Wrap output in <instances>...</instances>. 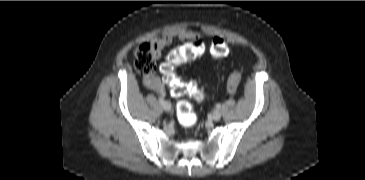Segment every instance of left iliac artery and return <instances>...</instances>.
<instances>
[{
  "label": "left iliac artery",
  "instance_id": "1",
  "mask_svg": "<svg viewBox=\"0 0 365 180\" xmlns=\"http://www.w3.org/2000/svg\"><path fill=\"white\" fill-rule=\"evenodd\" d=\"M216 108H217V109H220V108H221V105H220V104H217V105H216Z\"/></svg>",
  "mask_w": 365,
  "mask_h": 180
}]
</instances>
